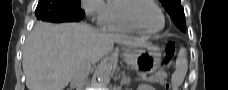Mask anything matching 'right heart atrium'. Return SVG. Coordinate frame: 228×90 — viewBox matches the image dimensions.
Segmentation results:
<instances>
[{"instance_id":"1","label":"right heart atrium","mask_w":228,"mask_h":90,"mask_svg":"<svg viewBox=\"0 0 228 90\" xmlns=\"http://www.w3.org/2000/svg\"><path fill=\"white\" fill-rule=\"evenodd\" d=\"M85 13L98 24H104L107 17V4L103 0H83Z\"/></svg>"}]
</instances>
